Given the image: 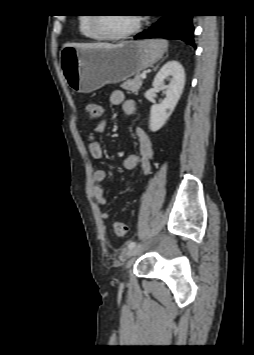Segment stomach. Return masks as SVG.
Masks as SVG:
<instances>
[{
	"label": "stomach",
	"instance_id": "1",
	"mask_svg": "<svg viewBox=\"0 0 254 355\" xmlns=\"http://www.w3.org/2000/svg\"><path fill=\"white\" fill-rule=\"evenodd\" d=\"M167 47V41L161 39L128 41L113 48L64 46L60 64L73 91L91 93L153 66L163 57Z\"/></svg>",
	"mask_w": 254,
	"mask_h": 355
}]
</instances>
